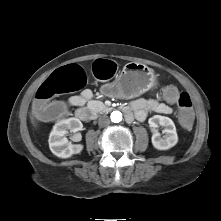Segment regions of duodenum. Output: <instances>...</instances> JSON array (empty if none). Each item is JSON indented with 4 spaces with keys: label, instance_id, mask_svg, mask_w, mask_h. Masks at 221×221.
<instances>
[{
    "label": "duodenum",
    "instance_id": "1",
    "mask_svg": "<svg viewBox=\"0 0 221 221\" xmlns=\"http://www.w3.org/2000/svg\"><path fill=\"white\" fill-rule=\"evenodd\" d=\"M123 112L125 113L126 119L132 121L133 115L131 110L128 107H124ZM76 117L83 122H89L91 120V112L87 108H80L76 111Z\"/></svg>",
    "mask_w": 221,
    "mask_h": 221
}]
</instances>
